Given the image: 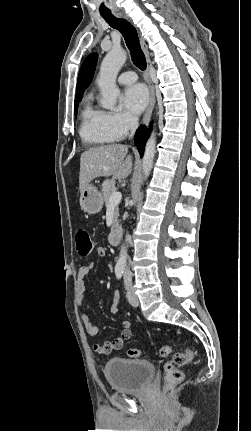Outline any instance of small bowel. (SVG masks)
Listing matches in <instances>:
<instances>
[{"label":"small bowel","instance_id":"c3829d8e","mask_svg":"<svg viewBox=\"0 0 251 431\" xmlns=\"http://www.w3.org/2000/svg\"><path fill=\"white\" fill-rule=\"evenodd\" d=\"M97 253L99 256H105L106 250L105 248L99 246L97 248ZM95 263H89L86 265H82L77 270V280H76V303L78 307H82L84 304V293H85V278L88 274L94 269ZM110 311L112 314H118L119 312V294L118 292L114 293L113 301L110 307ZM82 322L85 326L87 334L90 337H95L98 334V326L96 322L86 313L81 314ZM122 330L120 335L112 340L106 341L103 344H94L93 349L100 354H110L116 350H120L124 342L131 338V322L126 319L121 320Z\"/></svg>","mask_w":251,"mask_h":431}]
</instances>
